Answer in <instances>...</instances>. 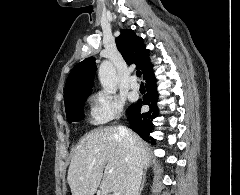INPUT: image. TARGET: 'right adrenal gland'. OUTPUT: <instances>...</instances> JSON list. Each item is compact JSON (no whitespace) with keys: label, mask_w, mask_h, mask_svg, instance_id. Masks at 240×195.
<instances>
[{"label":"right adrenal gland","mask_w":240,"mask_h":195,"mask_svg":"<svg viewBox=\"0 0 240 195\" xmlns=\"http://www.w3.org/2000/svg\"><path fill=\"white\" fill-rule=\"evenodd\" d=\"M145 181H146V173H143V179H142V183H141V185H140L139 195H140V193H142V189H143V187H144Z\"/></svg>","instance_id":"2a0ac1e0"}]
</instances>
